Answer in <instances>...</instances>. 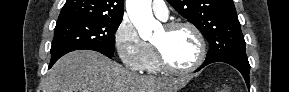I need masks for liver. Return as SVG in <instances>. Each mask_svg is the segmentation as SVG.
<instances>
[{
  "instance_id": "liver-1",
  "label": "liver",
  "mask_w": 289,
  "mask_h": 92,
  "mask_svg": "<svg viewBox=\"0 0 289 92\" xmlns=\"http://www.w3.org/2000/svg\"><path fill=\"white\" fill-rule=\"evenodd\" d=\"M185 83L186 79L141 76L98 52L77 50L53 65L43 92H176Z\"/></svg>"
}]
</instances>
